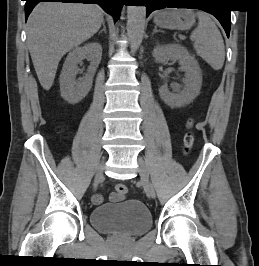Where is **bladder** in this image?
Wrapping results in <instances>:
<instances>
[{
	"mask_svg": "<svg viewBox=\"0 0 259 266\" xmlns=\"http://www.w3.org/2000/svg\"><path fill=\"white\" fill-rule=\"evenodd\" d=\"M90 223L99 232L122 236H140L152 226L148 208L139 200L128 199L117 205L95 207Z\"/></svg>",
	"mask_w": 259,
	"mask_h": 266,
	"instance_id": "1",
	"label": "bladder"
}]
</instances>
